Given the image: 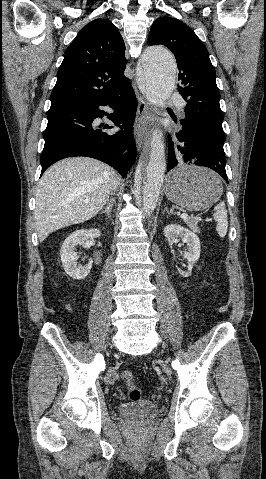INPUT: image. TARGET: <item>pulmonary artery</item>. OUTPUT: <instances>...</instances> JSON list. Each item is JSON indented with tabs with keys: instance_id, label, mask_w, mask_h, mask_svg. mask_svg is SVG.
I'll return each instance as SVG.
<instances>
[{
	"instance_id": "obj_1",
	"label": "pulmonary artery",
	"mask_w": 266,
	"mask_h": 479,
	"mask_svg": "<svg viewBox=\"0 0 266 479\" xmlns=\"http://www.w3.org/2000/svg\"><path fill=\"white\" fill-rule=\"evenodd\" d=\"M176 98H178V95L175 92H172L168 97L169 100L176 99ZM179 111L181 115L184 114V103H180Z\"/></svg>"
}]
</instances>
